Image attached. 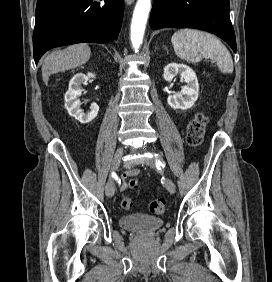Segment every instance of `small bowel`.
I'll return each mask as SVG.
<instances>
[{
    "instance_id": "1",
    "label": "small bowel",
    "mask_w": 272,
    "mask_h": 282,
    "mask_svg": "<svg viewBox=\"0 0 272 282\" xmlns=\"http://www.w3.org/2000/svg\"><path fill=\"white\" fill-rule=\"evenodd\" d=\"M137 173H138L137 169L133 168L122 175V184H121L122 190H126L128 188L127 184L125 183V180L130 176L136 175Z\"/></svg>"
}]
</instances>
